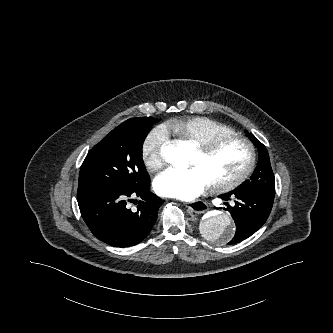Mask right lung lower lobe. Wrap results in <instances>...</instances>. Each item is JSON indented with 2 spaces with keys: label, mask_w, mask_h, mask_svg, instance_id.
I'll list each match as a JSON object with an SVG mask.
<instances>
[{
  "label": "right lung lower lobe",
  "mask_w": 333,
  "mask_h": 333,
  "mask_svg": "<svg viewBox=\"0 0 333 333\" xmlns=\"http://www.w3.org/2000/svg\"><path fill=\"white\" fill-rule=\"evenodd\" d=\"M139 197L137 210L129 209ZM77 201L83 220L94 236L111 246L141 242L156 222L163 200L150 192V179L137 187L92 185L79 188Z\"/></svg>",
  "instance_id": "1"
}]
</instances>
